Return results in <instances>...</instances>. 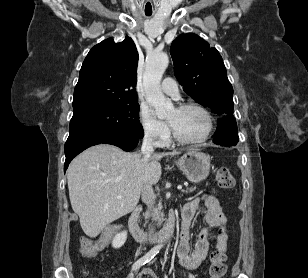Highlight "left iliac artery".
Returning <instances> with one entry per match:
<instances>
[{
	"label": "left iliac artery",
	"mask_w": 308,
	"mask_h": 278,
	"mask_svg": "<svg viewBox=\"0 0 308 278\" xmlns=\"http://www.w3.org/2000/svg\"><path fill=\"white\" fill-rule=\"evenodd\" d=\"M164 265V264H163ZM189 278H194L192 275H189Z\"/></svg>",
	"instance_id": "44dca946"
}]
</instances>
